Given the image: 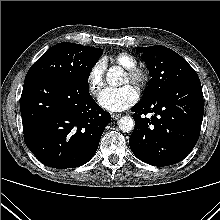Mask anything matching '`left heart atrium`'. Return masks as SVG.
Here are the masks:
<instances>
[{
	"instance_id": "1",
	"label": "left heart atrium",
	"mask_w": 220,
	"mask_h": 220,
	"mask_svg": "<svg viewBox=\"0 0 220 220\" xmlns=\"http://www.w3.org/2000/svg\"><path fill=\"white\" fill-rule=\"evenodd\" d=\"M139 98L138 91L132 85L119 88L108 87L104 89L99 97V105L107 111L121 112L134 105Z\"/></svg>"
}]
</instances>
